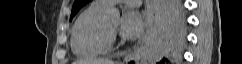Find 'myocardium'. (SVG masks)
Listing matches in <instances>:
<instances>
[{"instance_id": "obj_1", "label": "myocardium", "mask_w": 242, "mask_h": 64, "mask_svg": "<svg viewBox=\"0 0 242 64\" xmlns=\"http://www.w3.org/2000/svg\"><path fill=\"white\" fill-rule=\"evenodd\" d=\"M98 37L101 42L107 46L110 45L114 38V30L108 28L106 21L104 20L98 29Z\"/></svg>"}]
</instances>
